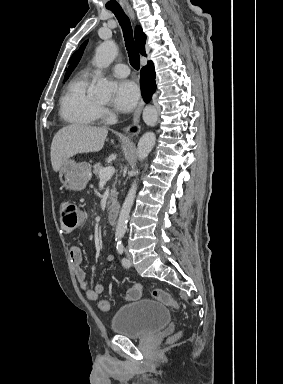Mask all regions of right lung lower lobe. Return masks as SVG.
Returning a JSON list of instances; mask_svg holds the SVG:
<instances>
[{"label":"right lung lower lobe","instance_id":"1","mask_svg":"<svg viewBox=\"0 0 283 384\" xmlns=\"http://www.w3.org/2000/svg\"><path fill=\"white\" fill-rule=\"evenodd\" d=\"M140 86H141V92L144 100L146 102H149L153 92L156 89L155 71H154L153 64L147 65L146 67L142 68L141 77H140Z\"/></svg>","mask_w":283,"mask_h":384}]
</instances>
